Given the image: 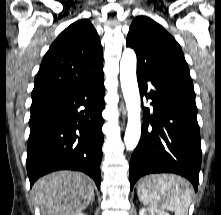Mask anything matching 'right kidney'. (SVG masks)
Masks as SVG:
<instances>
[{
    "label": "right kidney",
    "mask_w": 221,
    "mask_h": 215,
    "mask_svg": "<svg viewBox=\"0 0 221 215\" xmlns=\"http://www.w3.org/2000/svg\"><path fill=\"white\" fill-rule=\"evenodd\" d=\"M76 215H87V214L79 212Z\"/></svg>",
    "instance_id": "ca27d5eb"
}]
</instances>
